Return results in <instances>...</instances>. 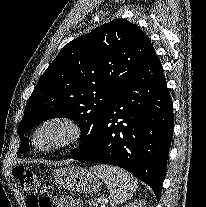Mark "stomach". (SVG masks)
Returning a JSON list of instances; mask_svg holds the SVG:
<instances>
[{
  "label": "stomach",
  "mask_w": 206,
  "mask_h": 207,
  "mask_svg": "<svg viewBox=\"0 0 206 207\" xmlns=\"http://www.w3.org/2000/svg\"><path fill=\"white\" fill-rule=\"evenodd\" d=\"M55 182L71 192L79 194L99 193L101 184L87 169L77 166L61 167L53 170Z\"/></svg>",
  "instance_id": "0dacf381"
}]
</instances>
